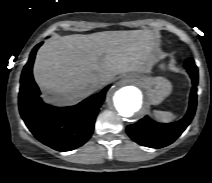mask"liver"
Listing matches in <instances>:
<instances>
[{
    "instance_id": "6515ba94",
    "label": "liver",
    "mask_w": 212,
    "mask_h": 183,
    "mask_svg": "<svg viewBox=\"0 0 212 183\" xmlns=\"http://www.w3.org/2000/svg\"><path fill=\"white\" fill-rule=\"evenodd\" d=\"M159 58L157 37L149 30L74 34L46 42L36 55L33 74L44 92L75 102L96 90L95 80L150 73Z\"/></svg>"
}]
</instances>
